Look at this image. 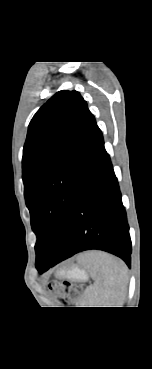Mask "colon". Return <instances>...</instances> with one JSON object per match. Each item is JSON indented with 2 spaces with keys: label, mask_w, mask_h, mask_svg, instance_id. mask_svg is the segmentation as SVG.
Wrapping results in <instances>:
<instances>
[{
  "label": "colon",
  "mask_w": 152,
  "mask_h": 369,
  "mask_svg": "<svg viewBox=\"0 0 152 369\" xmlns=\"http://www.w3.org/2000/svg\"><path fill=\"white\" fill-rule=\"evenodd\" d=\"M50 290L59 295L60 302L68 304L81 295V289L71 283L54 282L49 286Z\"/></svg>",
  "instance_id": "5ec220e1"
}]
</instances>
